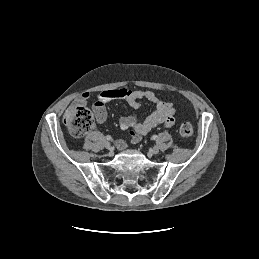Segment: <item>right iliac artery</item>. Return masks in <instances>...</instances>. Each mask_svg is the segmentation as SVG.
I'll return each instance as SVG.
<instances>
[{
  "mask_svg": "<svg viewBox=\"0 0 259 259\" xmlns=\"http://www.w3.org/2000/svg\"><path fill=\"white\" fill-rule=\"evenodd\" d=\"M105 138H106L107 140H111V139H112V137H111L110 135H107Z\"/></svg>",
  "mask_w": 259,
  "mask_h": 259,
  "instance_id": "82829eb1",
  "label": "right iliac artery"
}]
</instances>
